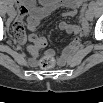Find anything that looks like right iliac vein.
Returning <instances> with one entry per match:
<instances>
[{"label": "right iliac vein", "mask_w": 103, "mask_h": 103, "mask_svg": "<svg viewBox=\"0 0 103 103\" xmlns=\"http://www.w3.org/2000/svg\"><path fill=\"white\" fill-rule=\"evenodd\" d=\"M7 12H8V15H10V16H12V15L14 14L13 9H11V8H9V9L7 10Z\"/></svg>", "instance_id": "63e3f726"}]
</instances>
